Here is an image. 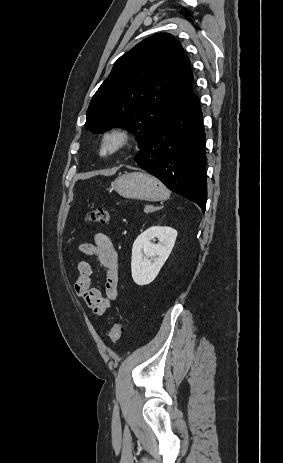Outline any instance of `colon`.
Returning <instances> with one entry per match:
<instances>
[{"mask_svg": "<svg viewBox=\"0 0 283 463\" xmlns=\"http://www.w3.org/2000/svg\"><path fill=\"white\" fill-rule=\"evenodd\" d=\"M109 218V211L101 207L91 209L87 216L89 222L96 224H106ZM123 330V325L121 323L117 322L113 325L110 331V340L112 343L115 344L121 339Z\"/></svg>", "mask_w": 283, "mask_h": 463, "instance_id": "obj_1", "label": "colon"}]
</instances>
